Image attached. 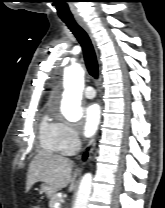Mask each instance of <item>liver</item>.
<instances>
[{
  "mask_svg": "<svg viewBox=\"0 0 165 208\" xmlns=\"http://www.w3.org/2000/svg\"><path fill=\"white\" fill-rule=\"evenodd\" d=\"M72 168L73 162L66 157L49 153L37 154L29 165L26 192L38 181L54 187L56 191L71 183L69 191H73L77 173L72 176Z\"/></svg>",
  "mask_w": 165,
  "mask_h": 208,
  "instance_id": "6515ba94",
  "label": "liver"
}]
</instances>
